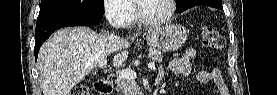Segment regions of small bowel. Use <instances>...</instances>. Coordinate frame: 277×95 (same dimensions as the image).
Here are the masks:
<instances>
[{"label":"small bowel","instance_id":"obj_1","mask_svg":"<svg viewBox=\"0 0 277 95\" xmlns=\"http://www.w3.org/2000/svg\"><path fill=\"white\" fill-rule=\"evenodd\" d=\"M197 55V48H189L184 55L174 58L169 61L167 64L161 66L158 70L157 80H162L167 71L176 74L187 76L191 74V60ZM196 79L203 82H211L219 90V94L228 95L229 91L227 85L223 78L220 75L219 69L214 70L213 72L203 70L198 72Z\"/></svg>","mask_w":277,"mask_h":95}]
</instances>
